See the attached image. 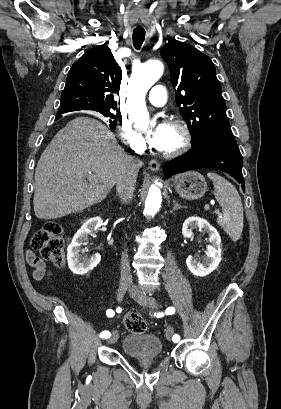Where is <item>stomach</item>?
Here are the masks:
<instances>
[{
	"mask_svg": "<svg viewBox=\"0 0 281 409\" xmlns=\"http://www.w3.org/2000/svg\"><path fill=\"white\" fill-rule=\"evenodd\" d=\"M174 188L182 198L195 200L207 192V182L200 172L187 170L176 178Z\"/></svg>",
	"mask_w": 281,
	"mask_h": 409,
	"instance_id": "stomach-1",
	"label": "stomach"
}]
</instances>
